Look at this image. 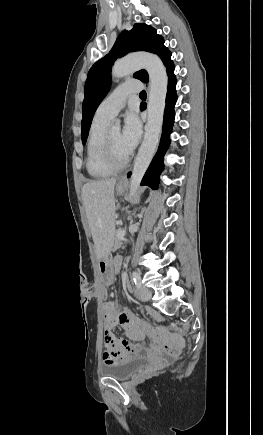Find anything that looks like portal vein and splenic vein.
I'll return each mask as SVG.
<instances>
[{
	"instance_id": "1",
	"label": "portal vein and splenic vein",
	"mask_w": 263,
	"mask_h": 435,
	"mask_svg": "<svg viewBox=\"0 0 263 435\" xmlns=\"http://www.w3.org/2000/svg\"><path fill=\"white\" fill-rule=\"evenodd\" d=\"M126 229H127V227L125 226V228H123L122 230H120V231L117 233V237H118L119 239H121L122 237H124V235L126 234Z\"/></svg>"
}]
</instances>
